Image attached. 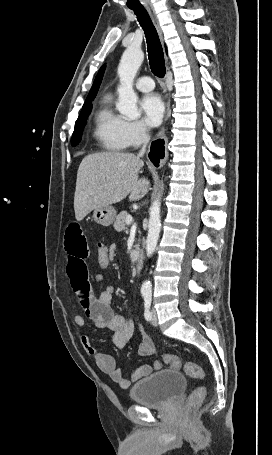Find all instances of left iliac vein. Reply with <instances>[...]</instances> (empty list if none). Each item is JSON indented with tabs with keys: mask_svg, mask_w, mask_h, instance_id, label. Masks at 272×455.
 <instances>
[{
	"mask_svg": "<svg viewBox=\"0 0 272 455\" xmlns=\"http://www.w3.org/2000/svg\"><path fill=\"white\" fill-rule=\"evenodd\" d=\"M151 323L154 326L158 325L157 312L155 309H152V311H151Z\"/></svg>",
	"mask_w": 272,
	"mask_h": 455,
	"instance_id": "obj_1",
	"label": "left iliac vein"
}]
</instances>
